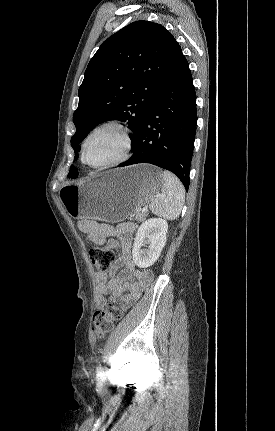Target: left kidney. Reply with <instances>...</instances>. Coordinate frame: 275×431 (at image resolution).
Segmentation results:
<instances>
[{
	"label": "left kidney",
	"mask_w": 275,
	"mask_h": 431,
	"mask_svg": "<svg viewBox=\"0 0 275 431\" xmlns=\"http://www.w3.org/2000/svg\"><path fill=\"white\" fill-rule=\"evenodd\" d=\"M167 230L168 223L162 218H150L140 225L132 249L138 267L147 268L156 262L165 246ZM145 244L148 248L142 249Z\"/></svg>",
	"instance_id": "5707ae66"
}]
</instances>
